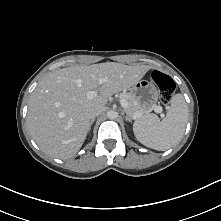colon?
Instances as JSON below:
<instances>
[{"label": "colon", "instance_id": "5ec220e1", "mask_svg": "<svg viewBox=\"0 0 221 221\" xmlns=\"http://www.w3.org/2000/svg\"><path fill=\"white\" fill-rule=\"evenodd\" d=\"M151 78L159 88V98L161 103L164 105L169 104L175 92V83L173 79L158 70L152 72Z\"/></svg>", "mask_w": 221, "mask_h": 221}]
</instances>
